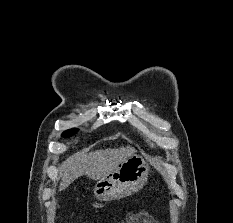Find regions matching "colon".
I'll list each match as a JSON object with an SVG mask.
<instances>
[{
	"label": "colon",
	"mask_w": 233,
	"mask_h": 223,
	"mask_svg": "<svg viewBox=\"0 0 233 223\" xmlns=\"http://www.w3.org/2000/svg\"><path fill=\"white\" fill-rule=\"evenodd\" d=\"M126 222L127 223H147V221L142 215L131 216Z\"/></svg>",
	"instance_id": "colon-1"
}]
</instances>
